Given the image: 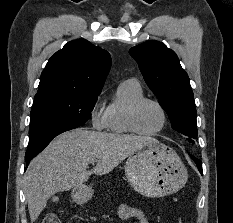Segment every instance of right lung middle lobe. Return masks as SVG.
<instances>
[{
	"label": "right lung middle lobe",
	"mask_w": 233,
	"mask_h": 223,
	"mask_svg": "<svg viewBox=\"0 0 233 223\" xmlns=\"http://www.w3.org/2000/svg\"><path fill=\"white\" fill-rule=\"evenodd\" d=\"M99 94L52 92L35 96L26 157L41 152L60 133L84 125Z\"/></svg>",
	"instance_id": "1"
}]
</instances>
